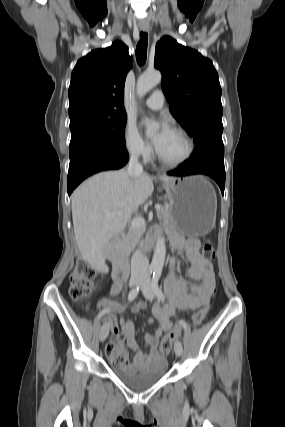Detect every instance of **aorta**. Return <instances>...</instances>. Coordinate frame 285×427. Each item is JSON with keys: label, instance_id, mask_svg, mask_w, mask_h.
Listing matches in <instances>:
<instances>
[{"label": "aorta", "instance_id": "aorta-1", "mask_svg": "<svg viewBox=\"0 0 285 427\" xmlns=\"http://www.w3.org/2000/svg\"><path fill=\"white\" fill-rule=\"evenodd\" d=\"M162 75L159 71L149 72L142 74L137 80L136 92L137 95L142 97L157 84L161 82ZM156 125H148L147 132L153 134L158 130ZM166 256L165 239L159 237L156 242V247L151 262V267L155 270H162Z\"/></svg>", "mask_w": 285, "mask_h": 427}]
</instances>
